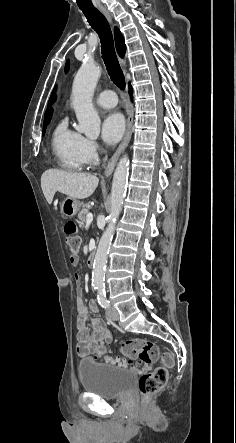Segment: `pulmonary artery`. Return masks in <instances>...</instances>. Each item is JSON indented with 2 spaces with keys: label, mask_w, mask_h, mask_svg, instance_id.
Returning <instances> with one entry per match:
<instances>
[{
  "label": "pulmonary artery",
  "mask_w": 236,
  "mask_h": 443,
  "mask_svg": "<svg viewBox=\"0 0 236 443\" xmlns=\"http://www.w3.org/2000/svg\"><path fill=\"white\" fill-rule=\"evenodd\" d=\"M117 102L116 94L111 90L102 91L96 97V103L105 108H113L116 106Z\"/></svg>",
  "instance_id": "e3ab8cb5"
}]
</instances>
